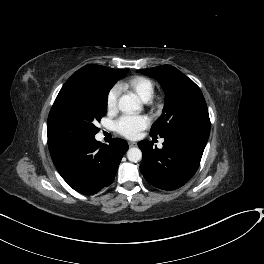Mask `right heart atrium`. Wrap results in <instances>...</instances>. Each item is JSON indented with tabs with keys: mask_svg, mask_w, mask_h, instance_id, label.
<instances>
[{
	"mask_svg": "<svg viewBox=\"0 0 264 264\" xmlns=\"http://www.w3.org/2000/svg\"><path fill=\"white\" fill-rule=\"evenodd\" d=\"M120 96V89L113 87L107 94L106 107L109 112H114L118 108V99Z\"/></svg>",
	"mask_w": 264,
	"mask_h": 264,
	"instance_id": "1",
	"label": "right heart atrium"
}]
</instances>
